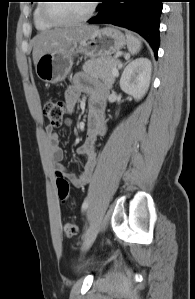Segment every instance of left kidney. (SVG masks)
<instances>
[{
	"instance_id": "5707ae66",
	"label": "left kidney",
	"mask_w": 195,
	"mask_h": 299,
	"mask_svg": "<svg viewBox=\"0 0 195 299\" xmlns=\"http://www.w3.org/2000/svg\"><path fill=\"white\" fill-rule=\"evenodd\" d=\"M151 71L152 65L147 58H138L130 62L120 79L122 91L137 101L142 99L149 88Z\"/></svg>"
}]
</instances>
